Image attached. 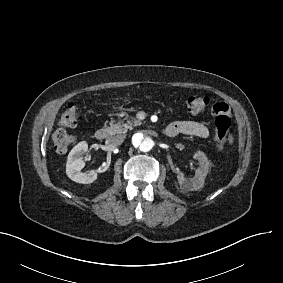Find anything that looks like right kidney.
I'll return each mask as SVG.
<instances>
[{"label": "right kidney", "instance_id": "obj_1", "mask_svg": "<svg viewBox=\"0 0 283 283\" xmlns=\"http://www.w3.org/2000/svg\"><path fill=\"white\" fill-rule=\"evenodd\" d=\"M88 151V144L86 141H81L75 145L70 153L68 154L66 163V174L67 176L82 184H90L97 179V173L91 170L89 173L81 172L85 166V162L82 160V154Z\"/></svg>", "mask_w": 283, "mask_h": 283}]
</instances>
